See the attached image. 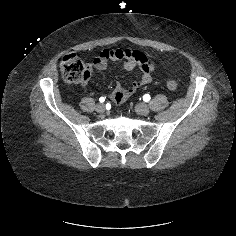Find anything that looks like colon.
Wrapping results in <instances>:
<instances>
[{
    "label": "colon",
    "instance_id": "colon-1",
    "mask_svg": "<svg viewBox=\"0 0 236 236\" xmlns=\"http://www.w3.org/2000/svg\"><path fill=\"white\" fill-rule=\"evenodd\" d=\"M60 72L62 78L69 83H83L91 75L88 66L74 53L65 55L60 62ZM177 82L174 79L167 81V87L170 90L177 88ZM119 104L122 102L121 94L117 96Z\"/></svg>",
    "mask_w": 236,
    "mask_h": 236
}]
</instances>
